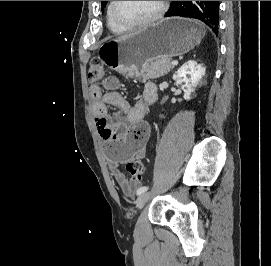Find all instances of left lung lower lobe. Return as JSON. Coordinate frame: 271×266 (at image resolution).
<instances>
[{
	"label": "left lung lower lobe",
	"instance_id": "0a47b994",
	"mask_svg": "<svg viewBox=\"0 0 271 266\" xmlns=\"http://www.w3.org/2000/svg\"><path fill=\"white\" fill-rule=\"evenodd\" d=\"M198 6L192 1H173L165 14L169 16H182L195 18L204 22L215 34H218L219 26V1H196Z\"/></svg>",
	"mask_w": 271,
	"mask_h": 266
}]
</instances>
